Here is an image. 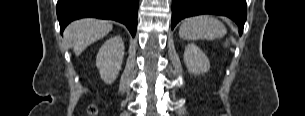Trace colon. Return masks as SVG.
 Returning a JSON list of instances; mask_svg holds the SVG:
<instances>
[{
    "label": "colon",
    "instance_id": "obj_1",
    "mask_svg": "<svg viewBox=\"0 0 305 116\" xmlns=\"http://www.w3.org/2000/svg\"><path fill=\"white\" fill-rule=\"evenodd\" d=\"M88 113L90 115H96L97 114V108L95 106H93V105L89 106L88 107Z\"/></svg>",
    "mask_w": 305,
    "mask_h": 116
}]
</instances>
